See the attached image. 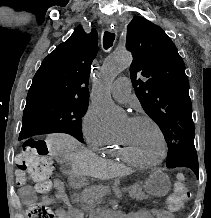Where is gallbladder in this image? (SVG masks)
I'll return each instance as SVG.
<instances>
[{
	"mask_svg": "<svg viewBox=\"0 0 211 218\" xmlns=\"http://www.w3.org/2000/svg\"><path fill=\"white\" fill-rule=\"evenodd\" d=\"M60 172H62V174H71L72 172V166H71V162H62L61 166H60Z\"/></svg>",
	"mask_w": 211,
	"mask_h": 218,
	"instance_id": "1",
	"label": "gallbladder"
}]
</instances>
